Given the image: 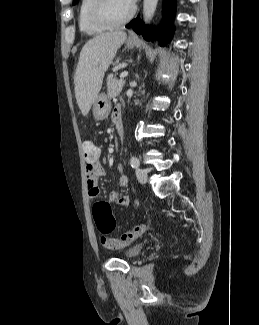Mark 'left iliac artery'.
Masks as SVG:
<instances>
[{
  "label": "left iliac artery",
  "instance_id": "obj_1",
  "mask_svg": "<svg viewBox=\"0 0 259 325\" xmlns=\"http://www.w3.org/2000/svg\"><path fill=\"white\" fill-rule=\"evenodd\" d=\"M134 160H139L137 157H135V156H132L131 158H130V164H131V166L133 165V161Z\"/></svg>",
  "mask_w": 259,
  "mask_h": 325
}]
</instances>
